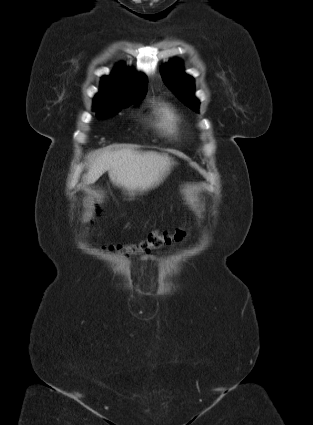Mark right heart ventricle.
<instances>
[{
  "instance_id": "right-heart-ventricle-1",
  "label": "right heart ventricle",
  "mask_w": 313,
  "mask_h": 425,
  "mask_svg": "<svg viewBox=\"0 0 313 425\" xmlns=\"http://www.w3.org/2000/svg\"><path fill=\"white\" fill-rule=\"evenodd\" d=\"M160 118L162 121V125L167 132L171 133L175 131L178 123V118L172 110L168 108H163L160 112Z\"/></svg>"
}]
</instances>
